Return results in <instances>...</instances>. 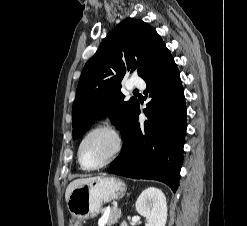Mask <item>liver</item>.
I'll use <instances>...</instances> for the list:
<instances>
[{
	"label": "liver",
	"instance_id": "liver-1",
	"mask_svg": "<svg viewBox=\"0 0 247 226\" xmlns=\"http://www.w3.org/2000/svg\"><path fill=\"white\" fill-rule=\"evenodd\" d=\"M93 179H94V178H81V179H76V180L72 181V182L68 185V187H67V189H66V192H65V199H66V202L68 201L71 192H72L76 187H78L79 185L84 184V183H86V182H89V181H91V180H93Z\"/></svg>",
	"mask_w": 247,
	"mask_h": 226
}]
</instances>
